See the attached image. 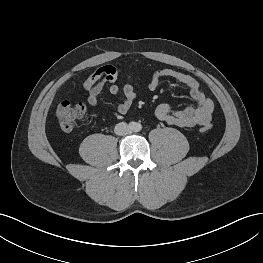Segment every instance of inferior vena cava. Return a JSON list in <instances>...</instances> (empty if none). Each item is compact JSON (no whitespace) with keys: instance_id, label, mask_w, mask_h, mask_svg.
<instances>
[{"instance_id":"inferior-vena-cava-1","label":"inferior vena cava","mask_w":263,"mask_h":263,"mask_svg":"<svg viewBox=\"0 0 263 263\" xmlns=\"http://www.w3.org/2000/svg\"><path fill=\"white\" fill-rule=\"evenodd\" d=\"M114 132H115V134L122 136V135L129 134L131 132V129L127 123L120 122V123L116 124V126L114 128Z\"/></svg>"}]
</instances>
